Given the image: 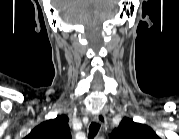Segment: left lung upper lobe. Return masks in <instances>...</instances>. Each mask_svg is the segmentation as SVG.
<instances>
[{
    "label": "left lung upper lobe",
    "mask_w": 179,
    "mask_h": 139,
    "mask_svg": "<svg viewBox=\"0 0 179 139\" xmlns=\"http://www.w3.org/2000/svg\"><path fill=\"white\" fill-rule=\"evenodd\" d=\"M112 139H156L154 131L147 125L124 118L111 134Z\"/></svg>",
    "instance_id": "obj_1"
}]
</instances>
